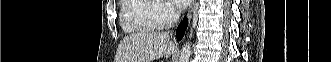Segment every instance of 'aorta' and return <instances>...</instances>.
Returning a JSON list of instances; mask_svg holds the SVG:
<instances>
[{"instance_id": "1", "label": "aorta", "mask_w": 331, "mask_h": 62, "mask_svg": "<svg viewBox=\"0 0 331 62\" xmlns=\"http://www.w3.org/2000/svg\"><path fill=\"white\" fill-rule=\"evenodd\" d=\"M191 55V45L189 42H186L181 50L179 62H189Z\"/></svg>"}]
</instances>
